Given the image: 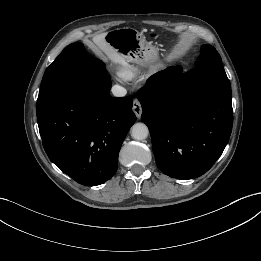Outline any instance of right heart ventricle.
Wrapping results in <instances>:
<instances>
[{"mask_svg":"<svg viewBox=\"0 0 261 261\" xmlns=\"http://www.w3.org/2000/svg\"><path fill=\"white\" fill-rule=\"evenodd\" d=\"M135 69L130 66L123 67L120 70V76L124 79H132L135 76Z\"/></svg>","mask_w":261,"mask_h":261,"instance_id":"e07e8e85","label":"right heart ventricle"}]
</instances>
